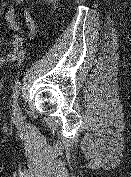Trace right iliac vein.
I'll return each mask as SVG.
<instances>
[{"label": "right iliac vein", "mask_w": 131, "mask_h": 177, "mask_svg": "<svg viewBox=\"0 0 131 177\" xmlns=\"http://www.w3.org/2000/svg\"><path fill=\"white\" fill-rule=\"evenodd\" d=\"M18 112V104H17V101L14 103V106H13V114L16 115Z\"/></svg>", "instance_id": "obj_1"}]
</instances>
